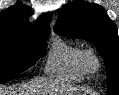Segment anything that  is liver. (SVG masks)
Listing matches in <instances>:
<instances>
[{
	"label": "liver",
	"mask_w": 119,
	"mask_h": 95,
	"mask_svg": "<svg viewBox=\"0 0 119 95\" xmlns=\"http://www.w3.org/2000/svg\"><path fill=\"white\" fill-rule=\"evenodd\" d=\"M56 90L66 95H72L77 92L76 88L64 83L58 84L57 82H50L44 79L34 80L19 88H7L0 85V95H41L40 93H54Z\"/></svg>",
	"instance_id": "6515ba94"
}]
</instances>
